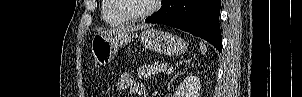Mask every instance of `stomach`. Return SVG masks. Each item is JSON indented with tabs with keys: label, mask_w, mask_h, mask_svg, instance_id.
Instances as JSON below:
<instances>
[{
	"label": "stomach",
	"mask_w": 302,
	"mask_h": 97,
	"mask_svg": "<svg viewBox=\"0 0 302 97\" xmlns=\"http://www.w3.org/2000/svg\"><path fill=\"white\" fill-rule=\"evenodd\" d=\"M134 37H139L147 49L166 56H178L187 49L186 42L180 37L154 28L143 29L139 34L129 31L96 34L91 45L95 62L100 66H106L115 56L118 48L130 43Z\"/></svg>",
	"instance_id": "obj_1"
}]
</instances>
